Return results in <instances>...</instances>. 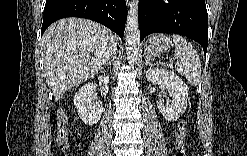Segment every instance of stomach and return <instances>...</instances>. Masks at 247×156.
<instances>
[{
    "label": "stomach",
    "mask_w": 247,
    "mask_h": 156,
    "mask_svg": "<svg viewBox=\"0 0 247 156\" xmlns=\"http://www.w3.org/2000/svg\"><path fill=\"white\" fill-rule=\"evenodd\" d=\"M171 47L170 38L164 34L151 35L145 43V51L150 56H159Z\"/></svg>",
    "instance_id": "stomach-1"
}]
</instances>
